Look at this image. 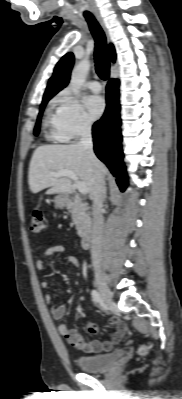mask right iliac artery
Segmentation results:
<instances>
[{
	"instance_id": "82829eb1",
	"label": "right iliac artery",
	"mask_w": 182,
	"mask_h": 399,
	"mask_svg": "<svg viewBox=\"0 0 182 399\" xmlns=\"http://www.w3.org/2000/svg\"><path fill=\"white\" fill-rule=\"evenodd\" d=\"M91 297H92V300H93V302L95 304H99L101 302V297H100V294H99V292L97 290H92L91 291Z\"/></svg>"
}]
</instances>
